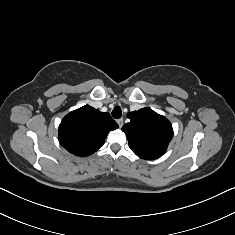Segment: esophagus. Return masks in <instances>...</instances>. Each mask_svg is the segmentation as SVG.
I'll use <instances>...</instances> for the list:
<instances>
[{
  "instance_id": "esophagus-1",
  "label": "esophagus",
  "mask_w": 235,
  "mask_h": 235,
  "mask_svg": "<svg viewBox=\"0 0 235 235\" xmlns=\"http://www.w3.org/2000/svg\"><path fill=\"white\" fill-rule=\"evenodd\" d=\"M117 123H118L119 127L121 128L123 126V119L122 118L118 119Z\"/></svg>"
}]
</instances>
